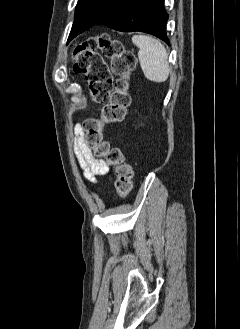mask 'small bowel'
Instances as JSON below:
<instances>
[{
	"label": "small bowel",
	"mask_w": 240,
	"mask_h": 329,
	"mask_svg": "<svg viewBox=\"0 0 240 329\" xmlns=\"http://www.w3.org/2000/svg\"><path fill=\"white\" fill-rule=\"evenodd\" d=\"M75 135V152L78 162L84 171V176L95 181L99 176H103L109 172V166L103 159L95 158L92 150L85 144V131L81 124H77L74 128Z\"/></svg>",
	"instance_id": "obj_1"
}]
</instances>
